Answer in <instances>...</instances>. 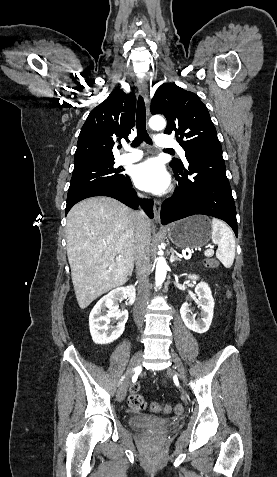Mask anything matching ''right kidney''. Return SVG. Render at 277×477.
<instances>
[{
	"label": "right kidney",
	"instance_id": "ca27d5eb",
	"mask_svg": "<svg viewBox=\"0 0 277 477\" xmlns=\"http://www.w3.org/2000/svg\"><path fill=\"white\" fill-rule=\"evenodd\" d=\"M123 298H128L129 304L132 305L136 298L135 287H118L102 297L93 307L89 315V326L94 343L109 344L122 335L128 319L127 310H118V303ZM112 319L118 320L115 327L109 325Z\"/></svg>",
	"mask_w": 277,
	"mask_h": 477
}]
</instances>
